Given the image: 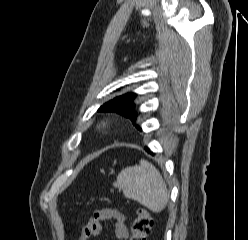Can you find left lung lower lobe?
Segmentation results:
<instances>
[{
    "mask_svg": "<svg viewBox=\"0 0 248 240\" xmlns=\"http://www.w3.org/2000/svg\"><path fill=\"white\" fill-rule=\"evenodd\" d=\"M145 150H146L147 152H150L149 148H147V147L145 148ZM150 153H151V152H150Z\"/></svg>",
    "mask_w": 248,
    "mask_h": 240,
    "instance_id": "0a47b994",
    "label": "left lung lower lobe"
}]
</instances>
